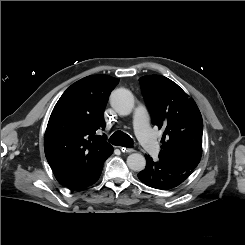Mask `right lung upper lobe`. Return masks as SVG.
Masks as SVG:
<instances>
[{"mask_svg":"<svg viewBox=\"0 0 245 245\" xmlns=\"http://www.w3.org/2000/svg\"><path fill=\"white\" fill-rule=\"evenodd\" d=\"M118 80L108 75L87 76L72 84L56 103L44 137L46 159L63 186L107 159L113 147L105 135L104 109Z\"/></svg>","mask_w":245,"mask_h":245,"instance_id":"right-lung-upper-lobe-1","label":"right lung upper lobe"}]
</instances>
